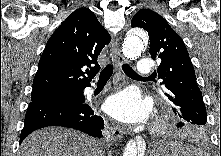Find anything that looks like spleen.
<instances>
[{"instance_id":"1","label":"spleen","mask_w":221,"mask_h":156,"mask_svg":"<svg viewBox=\"0 0 221 156\" xmlns=\"http://www.w3.org/2000/svg\"><path fill=\"white\" fill-rule=\"evenodd\" d=\"M179 146H184L185 147V149H187L188 151H191V152H193V155H196V156H204V152L203 151H201V150H199V149H196V148H194V147H192V146H186V145H183L181 142H176Z\"/></svg>"}]
</instances>
